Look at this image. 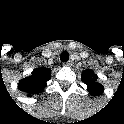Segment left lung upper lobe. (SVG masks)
I'll use <instances>...</instances> for the list:
<instances>
[{
    "label": "left lung upper lobe",
    "instance_id": "obj_1",
    "mask_svg": "<svg viewBox=\"0 0 124 124\" xmlns=\"http://www.w3.org/2000/svg\"><path fill=\"white\" fill-rule=\"evenodd\" d=\"M82 81L87 85V90L93 96L103 92V86L97 82L98 76L91 69H86L81 74Z\"/></svg>",
    "mask_w": 124,
    "mask_h": 124
}]
</instances>
